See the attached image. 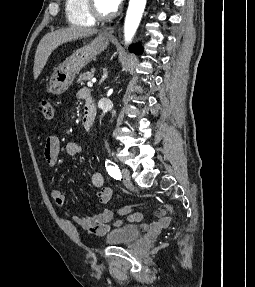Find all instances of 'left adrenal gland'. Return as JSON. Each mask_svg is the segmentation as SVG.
<instances>
[{
    "label": "left adrenal gland",
    "instance_id": "obj_1",
    "mask_svg": "<svg viewBox=\"0 0 255 287\" xmlns=\"http://www.w3.org/2000/svg\"><path fill=\"white\" fill-rule=\"evenodd\" d=\"M106 78H108V72H107V70H103V76H102L99 84H102V82H104V80H106Z\"/></svg>",
    "mask_w": 255,
    "mask_h": 287
}]
</instances>
